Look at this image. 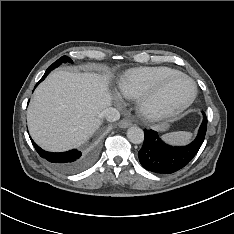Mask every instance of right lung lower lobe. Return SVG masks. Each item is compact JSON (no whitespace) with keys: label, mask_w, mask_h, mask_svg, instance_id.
I'll return each mask as SVG.
<instances>
[{"label":"right lung lower lobe","mask_w":234,"mask_h":234,"mask_svg":"<svg viewBox=\"0 0 234 234\" xmlns=\"http://www.w3.org/2000/svg\"><path fill=\"white\" fill-rule=\"evenodd\" d=\"M50 71V68L46 70L44 76L36 84V86L46 78ZM31 141L36 151L42 158L52 163L57 169L66 173H77L84 170L93 162L96 154L95 144L91 145L83 153L76 149L67 152L54 153L44 151L36 143H34L32 139Z\"/></svg>","instance_id":"obj_1"}]
</instances>
